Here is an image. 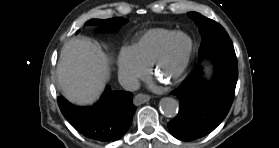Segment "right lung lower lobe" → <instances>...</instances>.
Returning <instances> with one entry per match:
<instances>
[{"instance_id":"obj_1","label":"right lung lower lobe","mask_w":279,"mask_h":148,"mask_svg":"<svg viewBox=\"0 0 279 148\" xmlns=\"http://www.w3.org/2000/svg\"><path fill=\"white\" fill-rule=\"evenodd\" d=\"M133 95L106 88L100 101L93 107H76L62 96L58 104L64 117L85 137L111 142L120 139L129 129L136 106Z\"/></svg>"}]
</instances>
